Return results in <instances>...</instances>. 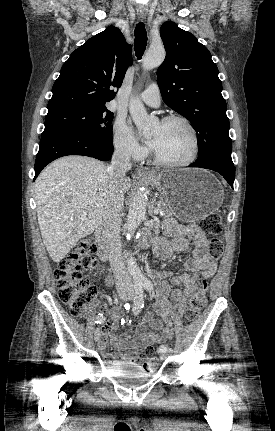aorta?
<instances>
[{
  "label": "aorta",
  "instance_id": "obj_1",
  "mask_svg": "<svg viewBox=\"0 0 275 431\" xmlns=\"http://www.w3.org/2000/svg\"><path fill=\"white\" fill-rule=\"evenodd\" d=\"M164 59L165 49L163 46L150 47L143 58V69L150 70L158 67ZM129 112L137 128L144 134H146L156 123V120L147 114L143 103L139 99L132 98L130 100ZM146 206L147 197L145 192L143 190H139L134 195L129 207L126 224L128 232L134 231L141 224L145 217ZM127 269L135 283H142L145 280L139 266L131 256L127 259Z\"/></svg>",
  "mask_w": 275,
  "mask_h": 431
}]
</instances>
